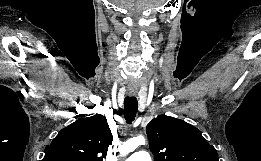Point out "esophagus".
I'll return each instance as SVG.
<instances>
[{
    "label": "esophagus",
    "instance_id": "obj_1",
    "mask_svg": "<svg viewBox=\"0 0 261 161\" xmlns=\"http://www.w3.org/2000/svg\"><path fill=\"white\" fill-rule=\"evenodd\" d=\"M135 94H129V96H134Z\"/></svg>",
    "mask_w": 261,
    "mask_h": 161
}]
</instances>
